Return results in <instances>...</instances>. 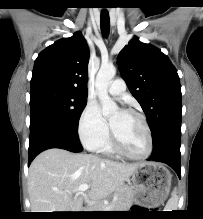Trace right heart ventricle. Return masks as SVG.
Here are the masks:
<instances>
[{
	"instance_id": "obj_1",
	"label": "right heart ventricle",
	"mask_w": 203,
	"mask_h": 219,
	"mask_svg": "<svg viewBox=\"0 0 203 219\" xmlns=\"http://www.w3.org/2000/svg\"><path fill=\"white\" fill-rule=\"evenodd\" d=\"M100 150L104 153H108V154H111V153H114L115 150L113 148V145L112 143L109 141V139L105 142V144L100 148Z\"/></svg>"
}]
</instances>
